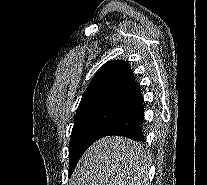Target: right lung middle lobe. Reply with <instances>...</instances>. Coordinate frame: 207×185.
Segmentation results:
<instances>
[{"label": "right lung middle lobe", "mask_w": 207, "mask_h": 185, "mask_svg": "<svg viewBox=\"0 0 207 185\" xmlns=\"http://www.w3.org/2000/svg\"><path fill=\"white\" fill-rule=\"evenodd\" d=\"M123 111L95 108L77 113L69 144V174L71 175L82 154L122 115Z\"/></svg>", "instance_id": "right-lung-middle-lobe-1"}]
</instances>
